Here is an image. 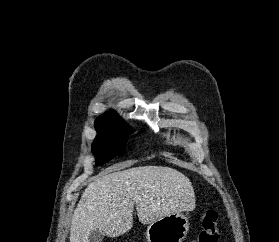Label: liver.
<instances>
[{
	"mask_svg": "<svg viewBox=\"0 0 279 242\" xmlns=\"http://www.w3.org/2000/svg\"><path fill=\"white\" fill-rule=\"evenodd\" d=\"M127 166H113L87 186L72 216L70 242H89L95 230L109 237L124 234L133 226L134 206L143 224L195 209L192 183L181 172L162 166L124 169Z\"/></svg>",
	"mask_w": 279,
	"mask_h": 242,
	"instance_id": "6515ba94",
	"label": "liver"
}]
</instances>
